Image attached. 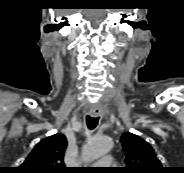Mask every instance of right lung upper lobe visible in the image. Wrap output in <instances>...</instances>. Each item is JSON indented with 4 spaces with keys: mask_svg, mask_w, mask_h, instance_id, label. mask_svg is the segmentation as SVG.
Wrapping results in <instances>:
<instances>
[{
    "mask_svg": "<svg viewBox=\"0 0 184 173\" xmlns=\"http://www.w3.org/2000/svg\"><path fill=\"white\" fill-rule=\"evenodd\" d=\"M66 146V137L62 134L41 140L18 167L19 173H66L63 165Z\"/></svg>",
    "mask_w": 184,
    "mask_h": 173,
    "instance_id": "obj_1",
    "label": "right lung upper lobe"
}]
</instances>
